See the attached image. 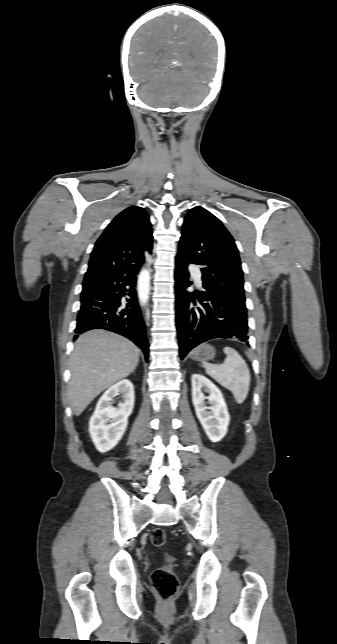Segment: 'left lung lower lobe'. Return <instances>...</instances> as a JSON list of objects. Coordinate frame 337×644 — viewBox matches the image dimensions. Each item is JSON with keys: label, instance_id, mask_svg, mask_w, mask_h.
I'll return each instance as SVG.
<instances>
[{"label": "left lung lower lobe", "instance_id": "obj_1", "mask_svg": "<svg viewBox=\"0 0 337 644\" xmlns=\"http://www.w3.org/2000/svg\"><path fill=\"white\" fill-rule=\"evenodd\" d=\"M187 265L176 258L175 309L181 359L200 343L214 338L236 339L248 345L247 310L204 282V291L187 292L191 284Z\"/></svg>", "mask_w": 337, "mask_h": 644}]
</instances>
